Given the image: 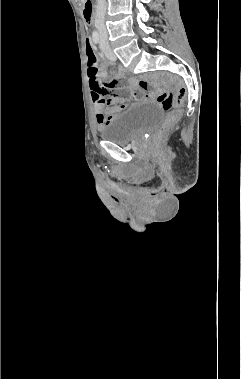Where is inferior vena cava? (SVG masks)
Here are the masks:
<instances>
[{"label": "inferior vena cava", "instance_id": "obj_1", "mask_svg": "<svg viewBox=\"0 0 241 379\" xmlns=\"http://www.w3.org/2000/svg\"><path fill=\"white\" fill-rule=\"evenodd\" d=\"M107 10L106 0H97L95 27L98 30L101 39L107 40L108 34L105 27L104 19Z\"/></svg>", "mask_w": 241, "mask_h": 379}]
</instances>
